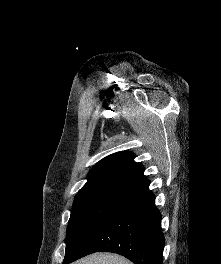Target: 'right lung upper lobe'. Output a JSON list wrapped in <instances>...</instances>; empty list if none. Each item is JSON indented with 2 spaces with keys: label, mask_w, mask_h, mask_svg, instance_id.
<instances>
[{
  "label": "right lung upper lobe",
  "mask_w": 221,
  "mask_h": 264,
  "mask_svg": "<svg viewBox=\"0 0 221 264\" xmlns=\"http://www.w3.org/2000/svg\"><path fill=\"white\" fill-rule=\"evenodd\" d=\"M134 157L132 152L122 151L103 158L91 169L79 192L105 187L127 189L145 179L144 168Z\"/></svg>",
  "instance_id": "right-lung-upper-lobe-1"
}]
</instances>
